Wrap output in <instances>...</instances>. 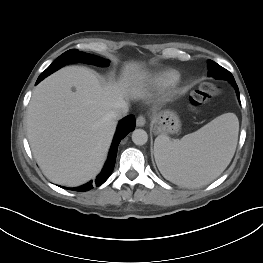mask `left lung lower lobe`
<instances>
[{
    "instance_id": "0a47b994",
    "label": "left lung lower lobe",
    "mask_w": 263,
    "mask_h": 263,
    "mask_svg": "<svg viewBox=\"0 0 263 263\" xmlns=\"http://www.w3.org/2000/svg\"><path fill=\"white\" fill-rule=\"evenodd\" d=\"M216 64L217 63L214 62V63H211V64L208 65V67H209L208 75L209 76H213V77L216 76V71H215ZM231 83L234 85V88L236 90L237 96H238V98L240 100L239 90H238V86H237L236 82L234 81V82H231Z\"/></svg>"
}]
</instances>
